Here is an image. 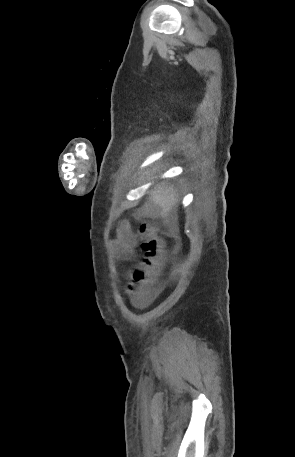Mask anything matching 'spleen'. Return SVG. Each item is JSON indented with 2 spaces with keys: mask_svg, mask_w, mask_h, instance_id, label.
I'll use <instances>...</instances> for the list:
<instances>
[{
  "mask_svg": "<svg viewBox=\"0 0 295 457\" xmlns=\"http://www.w3.org/2000/svg\"><path fill=\"white\" fill-rule=\"evenodd\" d=\"M178 201V194L172 187L158 186L151 191L150 202L154 206L161 208V215L167 217L172 208ZM148 203L145 204V208L148 210Z\"/></svg>",
  "mask_w": 295,
  "mask_h": 457,
  "instance_id": "3e777b00",
  "label": "spleen"
}]
</instances>
